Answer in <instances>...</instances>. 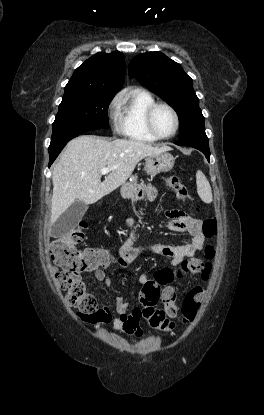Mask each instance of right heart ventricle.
<instances>
[{"label": "right heart ventricle", "instance_id": "right-heart-ventricle-1", "mask_svg": "<svg viewBox=\"0 0 264 415\" xmlns=\"http://www.w3.org/2000/svg\"><path fill=\"white\" fill-rule=\"evenodd\" d=\"M156 103L153 95L144 90H133L119 101L118 126L123 136L134 141L154 143L145 123L147 109Z\"/></svg>", "mask_w": 264, "mask_h": 415}]
</instances>
